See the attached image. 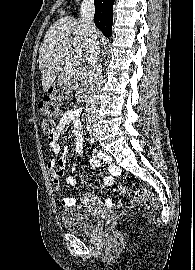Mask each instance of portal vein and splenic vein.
<instances>
[{
	"instance_id": "18ae733b",
	"label": "portal vein and splenic vein",
	"mask_w": 195,
	"mask_h": 270,
	"mask_svg": "<svg viewBox=\"0 0 195 270\" xmlns=\"http://www.w3.org/2000/svg\"><path fill=\"white\" fill-rule=\"evenodd\" d=\"M71 55L74 58H82L83 52L82 50L74 49L73 51H71Z\"/></svg>"
}]
</instances>
